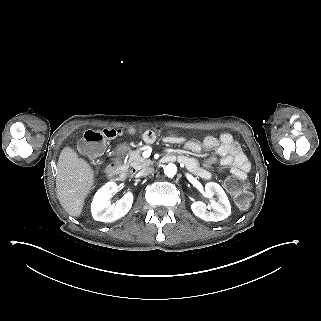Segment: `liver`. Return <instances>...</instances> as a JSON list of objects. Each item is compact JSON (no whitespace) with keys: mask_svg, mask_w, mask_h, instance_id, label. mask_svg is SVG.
I'll return each instance as SVG.
<instances>
[{"mask_svg":"<svg viewBox=\"0 0 321 321\" xmlns=\"http://www.w3.org/2000/svg\"><path fill=\"white\" fill-rule=\"evenodd\" d=\"M58 199L63 209L73 217H80L85 200L95 183V172L70 146L59 156L56 172Z\"/></svg>","mask_w":321,"mask_h":321,"instance_id":"obj_1","label":"liver"}]
</instances>
